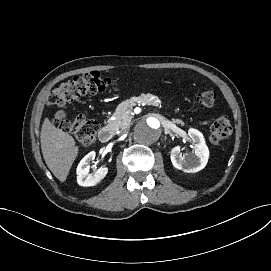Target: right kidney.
<instances>
[{
  "mask_svg": "<svg viewBox=\"0 0 271 271\" xmlns=\"http://www.w3.org/2000/svg\"><path fill=\"white\" fill-rule=\"evenodd\" d=\"M96 152L91 151L84 156L76 168L77 183L80 186H94L99 183L107 174V168L100 167L93 175L88 174L90 162L95 159Z\"/></svg>",
  "mask_w": 271,
  "mask_h": 271,
  "instance_id": "ca27d5eb",
  "label": "right kidney"
}]
</instances>
